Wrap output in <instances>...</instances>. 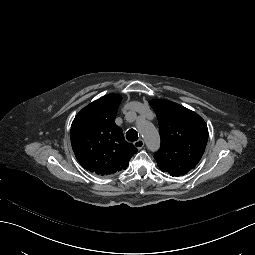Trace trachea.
<instances>
[{"label":"trachea","mask_w":255,"mask_h":255,"mask_svg":"<svg viewBox=\"0 0 255 255\" xmlns=\"http://www.w3.org/2000/svg\"><path fill=\"white\" fill-rule=\"evenodd\" d=\"M126 139L133 142L138 140V134L134 129H130L126 132Z\"/></svg>","instance_id":"obj_1"}]
</instances>
